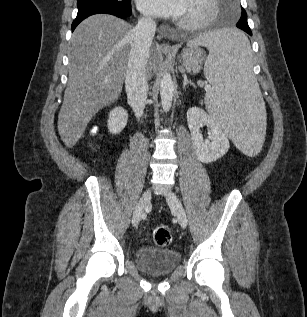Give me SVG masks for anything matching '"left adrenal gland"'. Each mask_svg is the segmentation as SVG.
<instances>
[{
	"label": "left adrenal gland",
	"mask_w": 307,
	"mask_h": 317,
	"mask_svg": "<svg viewBox=\"0 0 307 317\" xmlns=\"http://www.w3.org/2000/svg\"><path fill=\"white\" fill-rule=\"evenodd\" d=\"M183 88H185L187 85H192L193 87L195 86L193 82L189 81L187 78V75H183Z\"/></svg>",
	"instance_id": "obj_1"
}]
</instances>
